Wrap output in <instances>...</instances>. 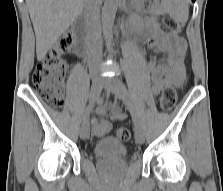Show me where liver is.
I'll use <instances>...</instances> for the list:
<instances>
[{
    "mask_svg": "<svg viewBox=\"0 0 223 191\" xmlns=\"http://www.w3.org/2000/svg\"><path fill=\"white\" fill-rule=\"evenodd\" d=\"M36 35V55L43 60L84 9L85 0H26Z\"/></svg>",
    "mask_w": 223,
    "mask_h": 191,
    "instance_id": "6515ba94",
    "label": "liver"
}]
</instances>
